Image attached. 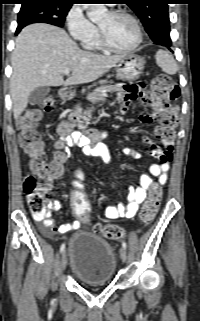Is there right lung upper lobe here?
<instances>
[{"instance_id": "obj_1", "label": "right lung upper lobe", "mask_w": 200, "mask_h": 321, "mask_svg": "<svg viewBox=\"0 0 200 321\" xmlns=\"http://www.w3.org/2000/svg\"><path fill=\"white\" fill-rule=\"evenodd\" d=\"M21 1L24 2V1H30V0H21ZM53 1H59V2H62V4L71 5L75 0H53Z\"/></svg>"}]
</instances>
